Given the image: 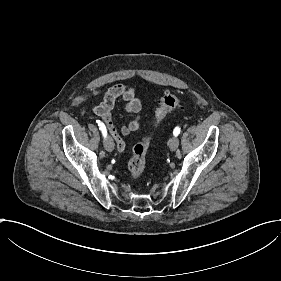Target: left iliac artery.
Masks as SVG:
<instances>
[{"instance_id":"obj_1","label":"left iliac artery","mask_w":281,"mask_h":281,"mask_svg":"<svg viewBox=\"0 0 281 281\" xmlns=\"http://www.w3.org/2000/svg\"><path fill=\"white\" fill-rule=\"evenodd\" d=\"M179 133H180V128H179V127H176V128L174 129V131H173L174 136H175V137L178 136Z\"/></svg>"}]
</instances>
